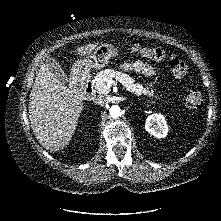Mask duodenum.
Here are the masks:
<instances>
[{"label": "duodenum", "instance_id": "1", "mask_svg": "<svg viewBox=\"0 0 221 221\" xmlns=\"http://www.w3.org/2000/svg\"><path fill=\"white\" fill-rule=\"evenodd\" d=\"M82 94L85 99L87 100H93L95 97V91L90 82H86L83 86Z\"/></svg>", "mask_w": 221, "mask_h": 221}]
</instances>
